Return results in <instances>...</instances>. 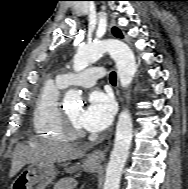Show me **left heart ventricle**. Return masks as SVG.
Returning <instances> with one entry per match:
<instances>
[{
  "mask_svg": "<svg viewBox=\"0 0 188 189\" xmlns=\"http://www.w3.org/2000/svg\"><path fill=\"white\" fill-rule=\"evenodd\" d=\"M72 122L77 126L80 127L78 123V117L81 112L80 107L72 108L66 111Z\"/></svg>",
  "mask_w": 188,
  "mask_h": 189,
  "instance_id": "1",
  "label": "left heart ventricle"
}]
</instances>
